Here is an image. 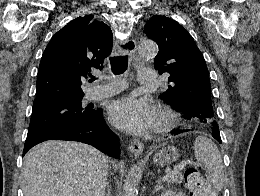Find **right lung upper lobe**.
Segmentation results:
<instances>
[{"instance_id":"obj_1","label":"right lung upper lobe","mask_w":260,"mask_h":196,"mask_svg":"<svg viewBox=\"0 0 260 196\" xmlns=\"http://www.w3.org/2000/svg\"><path fill=\"white\" fill-rule=\"evenodd\" d=\"M93 15L80 16L55 33L40 65L33 105L84 94L81 79L99 69L112 51V32Z\"/></svg>"}]
</instances>
